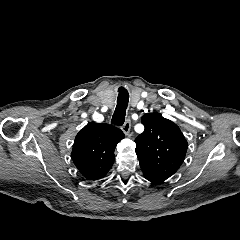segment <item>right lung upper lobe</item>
<instances>
[{
	"mask_svg": "<svg viewBox=\"0 0 240 240\" xmlns=\"http://www.w3.org/2000/svg\"><path fill=\"white\" fill-rule=\"evenodd\" d=\"M125 135L108 124L88 123L76 136L72 160L88 180H98L108 173L114 163V149Z\"/></svg>",
	"mask_w": 240,
	"mask_h": 240,
	"instance_id": "obj_1",
	"label": "right lung upper lobe"
}]
</instances>
